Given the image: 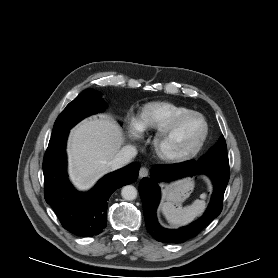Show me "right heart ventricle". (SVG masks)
Wrapping results in <instances>:
<instances>
[{
  "instance_id": "e07e8e85",
  "label": "right heart ventricle",
  "mask_w": 278,
  "mask_h": 278,
  "mask_svg": "<svg viewBox=\"0 0 278 278\" xmlns=\"http://www.w3.org/2000/svg\"><path fill=\"white\" fill-rule=\"evenodd\" d=\"M191 109L171 102L156 101L143 106L137 119L140 130H163L180 115Z\"/></svg>"
}]
</instances>
